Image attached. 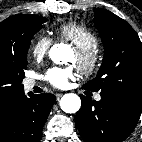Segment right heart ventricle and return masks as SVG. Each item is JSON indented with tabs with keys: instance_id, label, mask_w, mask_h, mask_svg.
<instances>
[{
	"instance_id": "right-heart-ventricle-1",
	"label": "right heart ventricle",
	"mask_w": 142,
	"mask_h": 142,
	"mask_svg": "<svg viewBox=\"0 0 142 142\" xmlns=\"http://www.w3.org/2000/svg\"><path fill=\"white\" fill-rule=\"evenodd\" d=\"M57 36L73 44L77 49L97 48L99 40L97 36L85 25L68 22L56 29Z\"/></svg>"
}]
</instances>
